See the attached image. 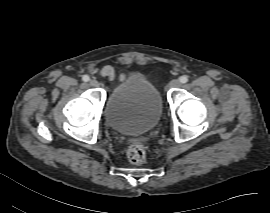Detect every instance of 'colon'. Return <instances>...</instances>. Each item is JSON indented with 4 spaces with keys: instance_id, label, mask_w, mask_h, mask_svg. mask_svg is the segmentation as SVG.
<instances>
[{
    "instance_id": "1",
    "label": "colon",
    "mask_w": 270,
    "mask_h": 213,
    "mask_svg": "<svg viewBox=\"0 0 270 213\" xmlns=\"http://www.w3.org/2000/svg\"><path fill=\"white\" fill-rule=\"evenodd\" d=\"M126 157L131 164H141L146 158L145 145L138 139L133 140L126 150Z\"/></svg>"
}]
</instances>
